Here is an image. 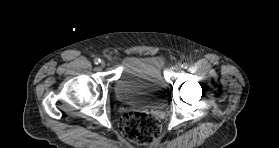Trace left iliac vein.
Returning a JSON list of instances; mask_svg holds the SVG:
<instances>
[{"label":"left iliac vein","instance_id":"obj_1","mask_svg":"<svg viewBox=\"0 0 279 148\" xmlns=\"http://www.w3.org/2000/svg\"><path fill=\"white\" fill-rule=\"evenodd\" d=\"M181 69H182V64L177 63V64L175 65V70H181Z\"/></svg>","mask_w":279,"mask_h":148}]
</instances>
